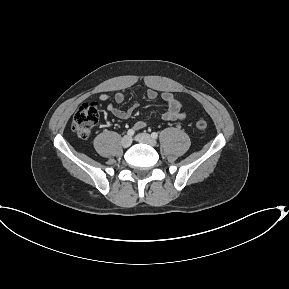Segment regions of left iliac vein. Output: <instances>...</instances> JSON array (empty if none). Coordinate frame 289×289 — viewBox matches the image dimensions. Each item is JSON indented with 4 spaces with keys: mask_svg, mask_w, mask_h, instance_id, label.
Listing matches in <instances>:
<instances>
[{
    "mask_svg": "<svg viewBox=\"0 0 289 289\" xmlns=\"http://www.w3.org/2000/svg\"><path fill=\"white\" fill-rule=\"evenodd\" d=\"M135 139L138 142L145 143L153 147L157 145L156 140L147 133H140L135 137Z\"/></svg>",
    "mask_w": 289,
    "mask_h": 289,
    "instance_id": "1",
    "label": "left iliac vein"
}]
</instances>
